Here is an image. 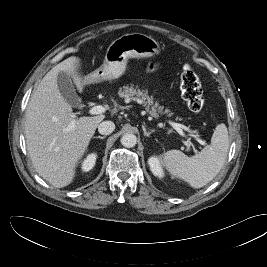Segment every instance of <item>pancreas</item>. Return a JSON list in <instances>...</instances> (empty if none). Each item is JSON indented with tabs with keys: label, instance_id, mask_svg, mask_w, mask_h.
<instances>
[{
	"label": "pancreas",
	"instance_id": "pancreas-1",
	"mask_svg": "<svg viewBox=\"0 0 267 267\" xmlns=\"http://www.w3.org/2000/svg\"><path fill=\"white\" fill-rule=\"evenodd\" d=\"M118 94L126 101L132 100L143 105L145 110L154 117H157L159 113H162L163 106H160L158 102H155L153 96H149L148 92L145 90H140L133 86H124L119 90ZM169 112L168 109L165 110V113L168 114Z\"/></svg>",
	"mask_w": 267,
	"mask_h": 267
}]
</instances>
